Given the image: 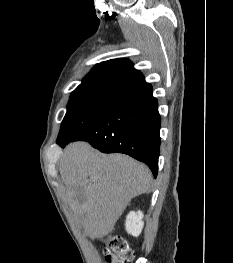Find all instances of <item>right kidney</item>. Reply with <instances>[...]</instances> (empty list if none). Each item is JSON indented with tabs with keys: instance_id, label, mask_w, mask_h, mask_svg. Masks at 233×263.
Returning a JSON list of instances; mask_svg holds the SVG:
<instances>
[{
	"instance_id": "obj_1",
	"label": "right kidney",
	"mask_w": 233,
	"mask_h": 263,
	"mask_svg": "<svg viewBox=\"0 0 233 263\" xmlns=\"http://www.w3.org/2000/svg\"><path fill=\"white\" fill-rule=\"evenodd\" d=\"M142 219L143 213L141 211L130 212L126 218V231L135 237L139 236L144 226V222L142 221Z\"/></svg>"
}]
</instances>
